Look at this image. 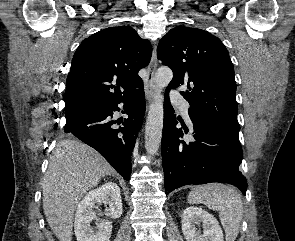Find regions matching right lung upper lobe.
Segmentation results:
<instances>
[{
	"label": "right lung upper lobe",
	"mask_w": 295,
	"mask_h": 241,
	"mask_svg": "<svg viewBox=\"0 0 295 241\" xmlns=\"http://www.w3.org/2000/svg\"><path fill=\"white\" fill-rule=\"evenodd\" d=\"M151 55L150 42L129 26L106 28L84 39L66 81L65 116L130 96L143 85L138 71Z\"/></svg>",
	"instance_id": "obj_1"
}]
</instances>
